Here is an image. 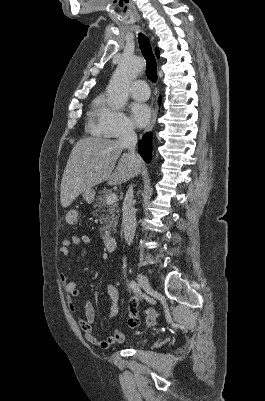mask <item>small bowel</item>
Returning <instances> with one entry per match:
<instances>
[{
	"mask_svg": "<svg viewBox=\"0 0 265 401\" xmlns=\"http://www.w3.org/2000/svg\"><path fill=\"white\" fill-rule=\"evenodd\" d=\"M90 242L91 238L86 234L73 235L62 242L59 252L63 257H67L72 248H76L81 244H89ZM60 281L63 285L66 294L68 309L70 310L71 313L75 314L76 307L72 302V299L79 296L80 286L76 282L69 281L66 274H61ZM105 288L111 300V305L107 311V314L110 320H114L119 312V307H118L119 292L117 288L110 283H106ZM137 310H138V299L137 297H132L129 302V317L133 315ZM95 317L96 314L91 301L86 300L84 303V317H78V323L84 334L85 339L89 343L95 345L100 349H108L114 344L124 342L125 334L118 328H115L114 333L106 337L105 339H98L95 336L92 327L95 321ZM128 324L130 326L129 318H128Z\"/></svg>",
	"mask_w": 265,
	"mask_h": 401,
	"instance_id": "small-bowel-1",
	"label": "small bowel"
}]
</instances>
